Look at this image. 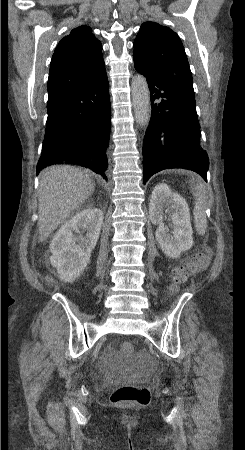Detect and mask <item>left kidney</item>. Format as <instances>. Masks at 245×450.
I'll list each match as a JSON object with an SVG mask.
<instances>
[{"mask_svg": "<svg viewBox=\"0 0 245 450\" xmlns=\"http://www.w3.org/2000/svg\"><path fill=\"white\" fill-rule=\"evenodd\" d=\"M165 208L172 219V231L163 223ZM149 217L154 225H158L155 237L166 256L178 258L193 246L188 204L168 185L161 183L155 186L149 203Z\"/></svg>", "mask_w": 245, "mask_h": 450, "instance_id": "1", "label": "left kidney"}]
</instances>
